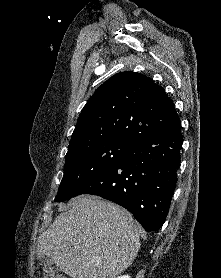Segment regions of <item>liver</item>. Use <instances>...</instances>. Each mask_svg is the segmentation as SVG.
I'll return each mask as SVG.
<instances>
[{
	"instance_id": "obj_1",
	"label": "liver",
	"mask_w": 221,
	"mask_h": 278,
	"mask_svg": "<svg viewBox=\"0 0 221 278\" xmlns=\"http://www.w3.org/2000/svg\"><path fill=\"white\" fill-rule=\"evenodd\" d=\"M38 238L37 256L51 257L71 278H113L134 261L140 248L132 215L97 196L71 200Z\"/></svg>"
}]
</instances>
